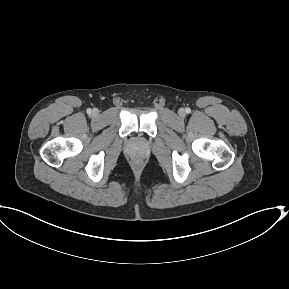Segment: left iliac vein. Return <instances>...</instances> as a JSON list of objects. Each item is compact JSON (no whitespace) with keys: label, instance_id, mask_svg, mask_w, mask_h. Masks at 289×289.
Returning a JSON list of instances; mask_svg holds the SVG:
<instances>
[{"label":"left iliac vein","instance_id":"4c4485c4","mask_svg":"<svg viewBox=\"0 0 289 289\" xmlns=\"http://www.w3.org/2000/svg\"><path fill=\"white\" fill-rule=\"evenodd\" d=\"M178 114H179L181 117H184V116L186 115L185 110L182 109V108L179 109Z\"/></svg>","mask_w":289,"mask_h":289}]
</instances>
